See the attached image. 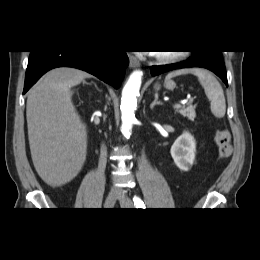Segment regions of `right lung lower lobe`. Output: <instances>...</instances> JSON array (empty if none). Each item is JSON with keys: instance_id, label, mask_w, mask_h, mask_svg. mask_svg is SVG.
Here are the masks:
<instances>
[{"instance_id": "right-lung-lower-lobe-1", "label": "right lung lower lobe", "mask_w": 260, "mask_h": 260, "mask_svg": "<svg viewBox=\"0 0 260 260\" xmlns=\"http://www.w3.org/2000/svg\"><path fill=\"white\" fill-rule=\"evenodd\" d=\"M129 59L125 51H31L25 76V94L47 71L56 67H74L87 71L118 88Z\"/></svg>"}]
</instances>
